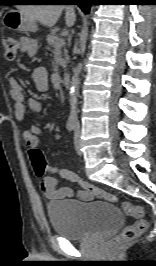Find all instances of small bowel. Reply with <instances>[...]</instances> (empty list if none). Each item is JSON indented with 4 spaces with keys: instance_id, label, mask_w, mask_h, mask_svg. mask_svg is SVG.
I'll return each mask as SVG.
<instances>
[{
    "instance_id": "1",
    "label": "small bowel",
    "mask_w": 156,
    "mask_h": 266,
    "mask_svg": "<svg viewBox=\"0 0 156 266\" xmlns=\"http://www.w3.org/2000/svg\"><path fill=\"white\" fill-rule=\"evenodd\" d=\"M19 49L22 53L32 56L36 54L38 47L34 39L29 37H22L19 42ZM33 78L38 89H47L48 75L45 68H37L33 73ZM9 94L14 102V116L17 121L22 122L25 118L26 113L25 95L23 88L15 78H11L9 80ZM27 106L35 112H40L42 109L41 103L33 98L27 100ZM42 134L43 130L38 126H31L30 128L23 131L22 136L29 150L38 146L39 138ZM55 138L60 139L61 135L56 134ZM41 188L45 196L53 200L70 198L74 195L72 188L58 187L57 180L54 177L50 176L43 179ZM77 195L79 199L83 201H89L93 197L84 190L79 191Z\"/></svg>"
}]
</instances>
